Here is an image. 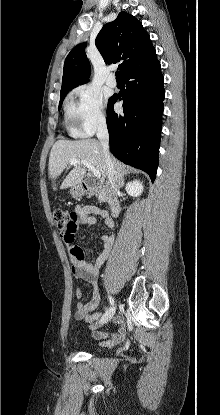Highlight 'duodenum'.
Masks as SVG:
<instances>
[{
  "instance_id": "obj_1",
  "label": "duodenum",
  "mask_w": 220,
  "mask_h": 415,
  "mask_svg": "<svg viewBox=\"0 0 220 415\" xmlns=\"http://www.w3.org/2000/svg\"><path fill=\"white\" fill-rule=\"evenodd\" d=\"M81 189L88 195L99 193L107 198L112 217H117L120 212V201L115 190L106 184H93L89 181H82Z\"/></svg>"
}]
</instances>
